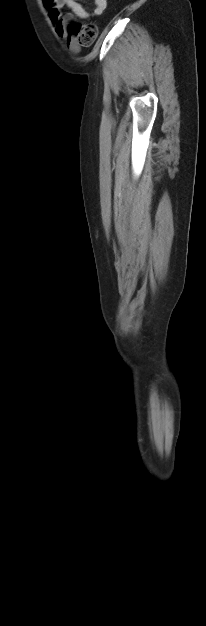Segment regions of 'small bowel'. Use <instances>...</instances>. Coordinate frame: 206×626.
Segmentation results:
<instances>
[{"instance_id":"small-bowel-1","label":"small bowel","mask_w":206,"mask_h":626,"mask_svg":"<svg viewBox=\"0 0 206 626\" xmlns=\"http://www.w3.org/2000/svg\"><path fill=\"white\" fill-rule=\"evenodd\" d=\"M44 5L48 11V15L52 22L56 24V32L61 37L65 38L69 49L77 53L80 50V43L76 36L69 33V24L75 20L88 19L91 14L88 13L77 0H43ZM94 8L92 15H101L107 6V0H93ZM63 7H68L71 12L62 14Z\"/></svg>"}]
</instances>
